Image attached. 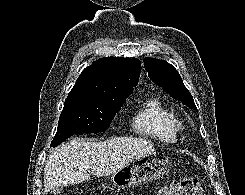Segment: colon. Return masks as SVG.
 Instances as JSON below:
<instances>
[{
	"label": "colon",
	"instance_id": "1",
	"mask_svg": "<svg viewBox=\"0 0 245 195\" xmlns=\"http://www.w3.org/2000/svg\"><path fill=\"white\" fill-rule=\"evenodd\" d=\"M200 181L195 177H184L163 187L158 195H201Z\"/></svg>",
	"mask_w": 245,
	"mask_h": 195
}]
</instances>
